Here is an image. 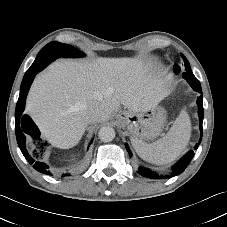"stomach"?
<instances>
[{"label": "stomach", "mask_w": 227, "mask_h": 227, "mask_svg": "<svg viewBox=\"0 0 227 227\" xmlns=\"http://www.w3.org/2000/svg\"><path fill=\"white\" fill-rule=\"evenodd\" d=\"M122 120L131 138L147 141L162 134L166 122V111L160 106L141 113L125 111Z\"/></svg>", "instance_id": "0dacf381"}]
</instances>
